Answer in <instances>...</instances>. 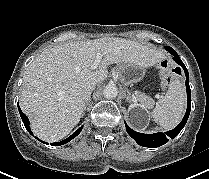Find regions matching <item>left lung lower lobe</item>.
Listing matches in <instances>:
<instances>
[{
  "mask_svg": "<svg viewBox=\"0 0 209 179\" xmlns=\"http://www.w3.org/2000/svg\"><path fill=\"white\" fill-rule=\"evenodd\" d=\"M166 49L174 56L173 59L176 61L177 64H179L183 68L185 72V75L187 78L186 79L187 110L181 123L173 130L167 131L165 133H154V134L139 133V132L132 130L125 122L127 133L137 142V144L144 146V147H149V148L162 146L165 143H167L170 138L171 139L175 138L180 133L182 128L185 126L188 120L189 114H190V110H191V90L189 86L188 70L185 67L184 63L179 58L178 54L171 47L166 46Z\"/></svg>",
  "mask_w": 209,
  "mask_h": 179,
  "instance_id": "0a47b994",
  "label": "left lung lower lobe"
}]
</instances>
